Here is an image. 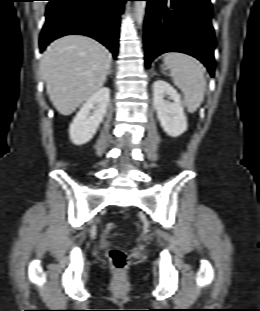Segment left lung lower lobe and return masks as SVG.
Returning a JSON list of instances; mask_svg holds the SVG:
<instances>
[{
	"instance_id": "1",
	"label": "left lung lower lobe",
	"mask_w": 260,
	"mask_h": 311,
	"mask_svg": "<svg viewBox=\"0 0 260 311\" xmlns=\"http://www.w3.org/2000/svg\"><path fill=\"white\" fill-rule=\"evenodd\" d=\"M146 67L165 52L199 59L214 76L215 37L210 0H145Z\"/></svg>"
}]
</instances>
